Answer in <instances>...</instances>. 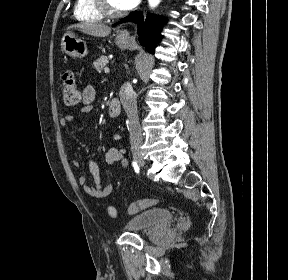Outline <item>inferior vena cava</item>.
<instances>
[{"label": "inferior vena cava", "instance_id": "602c4592", "mask_svg": "<svg viewBox=\"0 0 288 280\" xmlns=\"http://www.w3.org/2000/svg\"><path fill=\"white\" fill-rule=\"evenodd\" d=\"M119 94H121L120 100L122 101V107L126 110V119L129 126V141H131V157L134 159L143 158V150H140L142 143H144V138L142 134V125H139L140 121L138 118V105L136 104L137 92L130 89L126 81L122 82L121 89H119Z\"/></svg>", "mask_w": 288, "mask_h": 280}]
</instances>
